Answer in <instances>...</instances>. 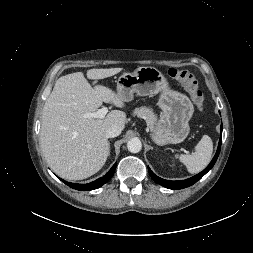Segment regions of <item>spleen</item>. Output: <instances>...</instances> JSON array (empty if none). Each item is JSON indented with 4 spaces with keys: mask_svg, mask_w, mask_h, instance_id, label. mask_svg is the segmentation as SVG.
Wrapping results in <instances>:
<instances>
[{
    "mask_svg": "<svg viewBox=\"0 0 253 253\" xmlns=\"http://www.w3.org/2000/svg\"><path fill=\"white\" fill-rule=\"evenodd\" d=\"M213 152V143L208 135H204L191 155H176L188 172L194 174L203 170L210 162Z\"/></svg>",
    "mask_w": 253,
    "mask_h": 253,
    "instance_id": "spleen-1",
    "label": "spleen"
}]
</instances>
